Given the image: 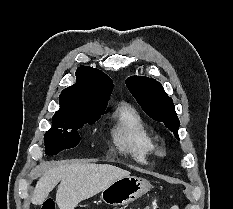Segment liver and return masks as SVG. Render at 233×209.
<instances>
[{
	"label": "liver",
	"instance_id": "liver-1",
	"mask_svg": "<svg viewBox=\"0 0 233 209\" xmlns=\"http://www.w3.org/2000/svg\"><path fill=\"white\" fill-rule=\"evenodd\" d=\"M130 172L110 164L73 163L47 170L38 180L31 202L42 204L60 182L56 193L59 209H74L78 204L107 188Z\"/></svg>",
	"mask_w": 233,
	"mask_h": 209
}]
</instances>
